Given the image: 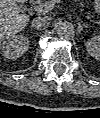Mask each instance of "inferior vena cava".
Instances as JSON below:
<instances>
[{
    "label": "inferior vena cava",
    "mask_w": 100,
    "mask_h": 118,
    "mask_svg": "<svg viewBox=\"0 0 100 118\" xmlns=\"http://www.w3.org/2000/svg\"><path fill=\"white\" fill-rule=\"evenodd\" d=\"M31 24L36 30H45L48 27L49 22L45 17H37L32 20Z\"/></svg>",
    "instance_id": "obj_1"
}]
</instances>
